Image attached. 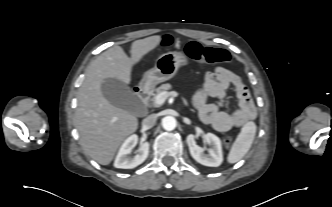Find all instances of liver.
<instances>
[{
  "mask_svg": "<svg viewBox=\"0 0 332 207\" xmlns=\"http://www.w3.org/2000/svg\"><path fill=\"white\" fill-rule=\"evenodd\" d=\"M161 41L159 36L136 40L131 45V57L120 46L100 54L86 69L79 89L75 123L85 153L101 165H108L126 139L138 128V119L129 111L110 104L103 96L101 83L117 78L129 84L135 64Z\"/></svg>",
  "mask_w": 332,
  "mask_h": 207,
  "instance_id": "6515ba94",
  "label": "liver"
}]
</instances>
